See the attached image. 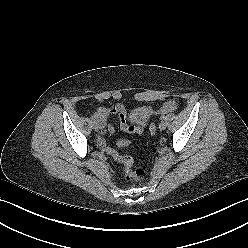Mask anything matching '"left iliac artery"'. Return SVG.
I'll return each mask as SVG.
<instances>
[{
    "instance_id": "1",
    "label": "left iliac artery",
    "mask_w": 248,
    "mask_h": 248,
    "mask_svg": "<svg viewBox=\"0 0 248 248\" xmlns=\"http://www.w3.org/2000/svg\"><path fill=\"white\" fill-rule=\"evenodd\" d=\"M164 118H165V117H164V116H162L160 119H161V120H164Z\"/></svg>"
}]
</instances>
